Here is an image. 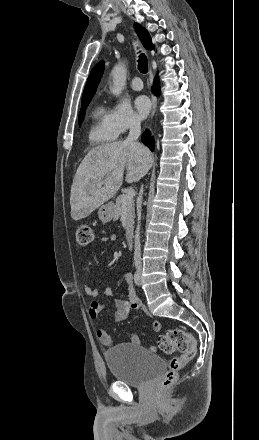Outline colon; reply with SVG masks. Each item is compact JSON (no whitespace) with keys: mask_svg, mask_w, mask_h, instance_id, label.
<instances>
[{"mask_svg":"<svg viewBox=\"0 0 259 440\" xmlns=\"http://www.w3.org/2000/svg\"><path fill=\"white\" fill-rule=\"evenodd\" d=\"M94 238L93 229L89 224L82 223L76 229V241L80 246H88ZM159 347L168 354L179 352L180 355L171 359L169 371L159 385L160 390L171 387L178 377V372L191 361L197 352L194 337L182 329H171L159 337Z\"/></svg>","mask_w":259,"mask_h":440,"instance_id":"5ec220e1","label":"colon"}]
</instances>
